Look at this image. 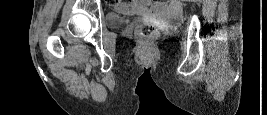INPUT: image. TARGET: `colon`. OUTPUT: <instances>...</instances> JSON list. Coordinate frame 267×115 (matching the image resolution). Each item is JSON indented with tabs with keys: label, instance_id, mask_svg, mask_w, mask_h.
I'll list each match as a JSON object with an SVG mask.
<instances>
[{
	"label": "colon",
	"instance_id": "colon-1",
	"mask_svg": "<svg viewBox=\"0 0 267 115\" xmlns=\"http://www.w3.org/2000/svg\"><path fill=\"white\" fill-rule=\"evenodd\" d=\"M135 35L142 41L150 42L158 38L159 30L153 25H144L136 30Z\"/></svg>",
	"mask_w": 267,
	"mask_h": 115
}]
</instances>
